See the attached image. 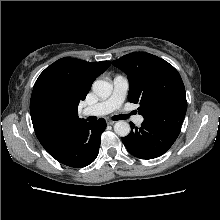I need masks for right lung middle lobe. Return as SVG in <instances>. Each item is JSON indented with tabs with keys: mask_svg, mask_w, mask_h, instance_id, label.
I'll list each match as a JSON object with an SVG mask.
<instances>
[{
	"mask_svg": "<svg viewBox=\"0 0 220 220\" xmlns=\"http://www.w3.org/2000/svg\"><path fill=\"white\" fill-rule=\"evenodd\" d=\"M34 113L45 121H56L62 116L63 111L56 97L46 92L36 100Z\"/></svg>",
	"mask_w": 220,
	"mask_h": 220,
	"instance_id": "right-lung-middle-lobe-1",
	"label": "right lung middle lobe"
}]
</instances>
